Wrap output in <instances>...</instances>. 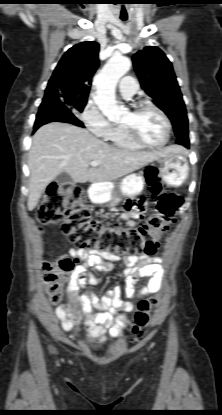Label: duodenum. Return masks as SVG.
Returning <instances> with one entry per match:
<instances>
[{
  "instance_id": "1",
  "label": "duodenum",
  "mask_w": 222,
  "mask_h": 415,
  "mask_svg": "<svg viewBox=\"0 0 222 415\" xmlns=\"http://www.w3.org/2000/svg\"><path fill=\"white\" fill-rule=\"evenodd\" d=\"M97 192V188L96 187H93L91 190H90V194L91 195H95V193Z\"/></svg>"
}]
</instances>
